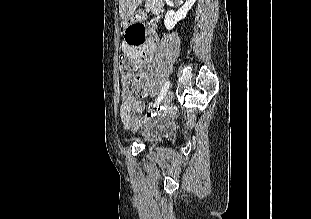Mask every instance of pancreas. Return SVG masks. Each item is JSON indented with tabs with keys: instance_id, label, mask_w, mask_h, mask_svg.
<instances>
[{
	"instance_id": "cf45deb5",
	"label": "pancreas",
	"mask_w": 311,
	"mask_h": 219,
	"mask_svg": "<svg viewBox=\"0 0 311 219\" xmlns=\"http://www.w3.org/2000/svg\"><path fill=\"white\" fill-rule=\"evenodd\" d=\"M163 6V0H146L145 10L155 11L156 9H161Z\"/></svg>"
}]
</instances>
